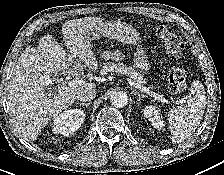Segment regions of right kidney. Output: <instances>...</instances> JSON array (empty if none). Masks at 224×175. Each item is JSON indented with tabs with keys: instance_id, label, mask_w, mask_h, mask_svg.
<instances>
[{
	"instance_id": "1",
	"label": "right kidney",
	"mask_w": 224,
	"mask_h": 175,
	"mask_svg": "<svg viewBox=\"0 0 224 175\" xmlns=\"http://www.w3.org/2000/svg\"><path fill=\"white\" fill-rule=\"evenodd\" d=\"M84 119L85 113L81 109L64 111L54 118L52 131L54 134L69 136L81 127Z\"/></svg>"
}]
</instances>
